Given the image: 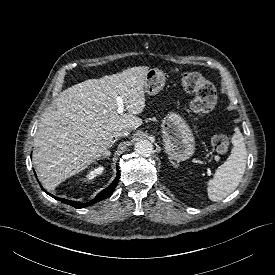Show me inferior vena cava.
<instances>
[{
	"label": "inferior vena cava",
	"mask_w": 275,
	"mask_h": 275,
	"mask_svg": "<svg viewBox=\"0 0 275 275\" xmlns=\"http://www.w3.org/2000/svg\"><path fill=\"white\" fill-rule=\"evenodd\" d=\"M127 135H129V131L126 130V129H121V130L114 133V137H124V136H127Z\"/></svg>",
	"instance_id": "1"
}]
</instances>
